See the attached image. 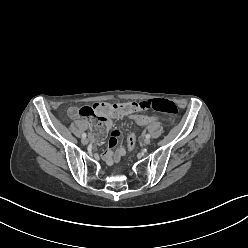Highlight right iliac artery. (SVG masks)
<instances>
[{"label": "right iliac artery", "mask_w": 248, "mask_h": 248, "mask_svg": "<svg viewBox=\"0 0 248 248\" xmlns=\"http://www.w3.org/2000/svg\"><path fill=\"white\" fill-rule=\"evenodd\" d=\"M82 138H86V133H83L82 134Z\"/></svg>", "instance_id": "1"}]
</instances>
